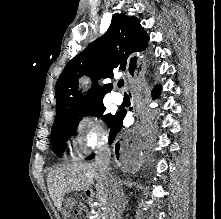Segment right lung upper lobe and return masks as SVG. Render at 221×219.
Here are the masks:
<instances>
[{
  "label": "right lung upper lobe",
  "instance_id": "1",
  "mask_svg": "<svg viewBox=\"0 0 221 219\" xmlns=\"http://www.w3.org/2000/svg\"><path fill=\"white\" fill-rule=\"evenodd\" d=\"M148 40V34L135 16L114 14L107 32L76 55L57 80L55 120L78 107L102 101L112 84L101 87L97 80L112 78L114 69L139 72L136 54L145 50ZM83 75L92 80L86 98L78 91V79Z\"/></svg>",
  "mask_w": 221,
  "mask_h": 219
}]
</instances>
